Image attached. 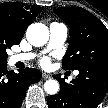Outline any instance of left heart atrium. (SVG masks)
I'll return each instance as SVG.
<instances>
[{
	"instance_id": "1",
	"label": "left heart atrium",
	"mask_w": 108,
	"mask_h": 108,
	"mask_svg": "<svg viewBox=\"0 0 108 108\" xmlns=\"http://www.w3.org/2000/svg\"><path fill=\"white\" fill-rule=\"evenodd\" d=\"M41 64L42 66L47 67L49 65V60L45 58L41 61Z\"/></svg>"
}]
</instances>
